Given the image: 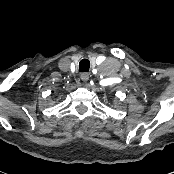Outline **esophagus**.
I'll return each mask as SVG.
<instances>
[{
  "instance_id": "obj_1",
  "label": "esophagus",
  "mask_w": 174,
  "mask_h": 174,
  "mask_svg": "<svg viewBox=\"0 0 174 174\" xmlns=\"http://www.w3.org/2000/svg\"><path fill=\"white\" fill-rule=\"evenodd\" d=\"M80 78H81L82 81L86 82V81L89 80V74L86 73V72L81 73Z\"/></svg>"
}]
</instances>
